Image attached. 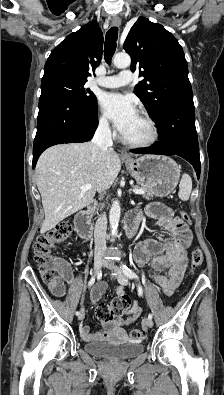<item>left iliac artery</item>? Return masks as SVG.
<instances>
[{
    "mask_svg": "<svg viewBox=\"0 0 224 395\" xmlns=\"http://www.w3.org/2000/svg\"><path fill=\"white\" fill-rule=\"evenodd\" d=\"M121 269H122L123 273H124L128 278H130V279H133V278L139 279V277H138L130 268H128L126 265L122 264V265H121ZM142 294H143V289H142V287L139 285V286H138V295H139V296H142ZM148 317L152 319V314L150 313V314L148 315Z\"/></svg>",
    "mask_w": 224,
    "mask_h": 395,
    "instance_id": "left-iliac-artery-1",
    "label": "left iliac artery"
}]
</instances>
